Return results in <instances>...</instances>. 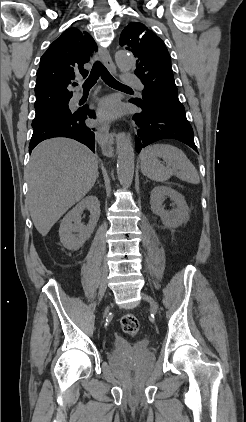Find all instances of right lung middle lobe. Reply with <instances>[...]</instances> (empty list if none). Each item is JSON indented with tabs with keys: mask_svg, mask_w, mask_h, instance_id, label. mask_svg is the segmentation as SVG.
Segmentation results:
<instances>
[{
	"mask_svg": "<svg viewBox=\"0 0 246 422\" xmlns=\"http://www.w3.org/2000/svg\"><path fill=\"white\" fill-rule=\"evenodd\" d=\"M68 102L69 101H64L41 109H36L32 126L50 119L71 116L73 112L69 109Z\"/></svg>",
	"mask_w": 246,
	"mask_h": 422,
	"instance_id": "dd1d6c3e",
	"label": "right lung middle lobe"
}]
</instances>
